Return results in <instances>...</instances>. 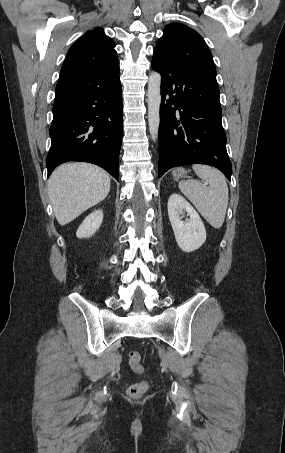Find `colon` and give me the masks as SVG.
<instances>
[{
  "instance_id": "5ec220e1",
  "label": "colon",
  "mask_w": 285,
  "mask_h": 453,
  "mask_svg": "<svg viewBox=\"0 0 285 453\" xmlns=\"http://www.w3.org/2000/svg\"><path fill=\"white\" fill-rule=\"evenodd\" d=\"M128 362L131 369L139 374L144 372V367L142 364V356L138 350H132L129 353ZM148 389V383L146 381H140L134 383L128 387V395L132 398L141 397Z\"/></svg>"
}]
</instances>
